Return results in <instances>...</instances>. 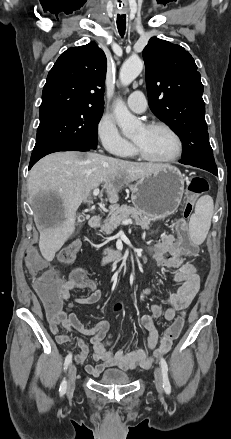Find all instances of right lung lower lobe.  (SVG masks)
Wrapping results in <instances>:
<instances>
[{"label": "right lung lower lobe", "instance_id": "right-lung-lower-lobe-1", "mask_svg": "<svg viewBox=\"0 0 231 439\" xmlns=\"http://www.w3.org/2000/svg\"><path fill=\"white\" fill-rule=\"evenodd\" d=\"M91 150L90 148H86V147H81V146H73V145H67V146H61V147H55V148H50V149H46V150H37V151H33L32 155H31V160H30V164H29V169L42 157L50 154V153H54V152H58V151H89Z\"/></svg>", "mask_w": 231, "mask_h": 439}]
</instances>
